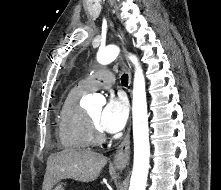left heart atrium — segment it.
<instances>
[{
	"mask_svg": "<svg viewBox=\"0 0 221 190\" xmlns=\"http://www.w3.org/2000/svg\"><path fill=\"white\" fill-rule=\"evenodd\" d=\"M128 117V105L123 98L111 97L101 111L99 128L108 133L123 129Z\"/></svg>",
	"mask_w": 221,
	"mask_h": 190,
	"instance_id": "1",
	"label": "left heart atrium"
}]
</instances>
